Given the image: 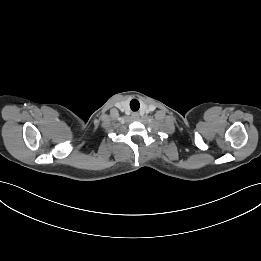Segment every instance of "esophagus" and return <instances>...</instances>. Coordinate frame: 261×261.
<instances>
[{
  "instance_id": "1",
  "label": "esophagus",
  "mask_w": 261,
  "mask_h": 261,
  "mask_svg": "<svg viewBox=\"0 0 261 261\" xmlns=\"http://www.w3.org/2000/svg\"><path fill=\"white\" fill-rule=\"evenodd\" d=\"M132 118H133L134 120H138V119H139V114H138V113H133V114H132Z\"/></svg>"
}]
</instances>
